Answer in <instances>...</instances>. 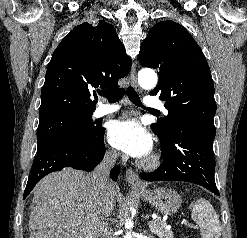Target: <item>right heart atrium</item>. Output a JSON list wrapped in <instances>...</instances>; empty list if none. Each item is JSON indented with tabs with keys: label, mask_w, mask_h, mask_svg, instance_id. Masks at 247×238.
Returning <instances> with one entry per match:
<instances>
[{
	"label": "right heart atrium",
	"mask_w": 247,
	"mask_h": 238,
	"mask_svg": "<svg viewBox=\"0 0 247 238\" xmlns=\"http://www.w3.org/2000/svg\"><path fill=\"white\" fill-rule=\"evenodd\" d=\"M106 157H107L108 159H113V158L115 157L114 151L108 149V150L106 151Z\"/></svg>",
	"instance_id": "d8ad5b80"
}]
</instances>
